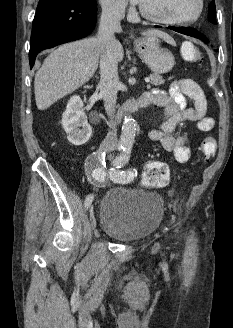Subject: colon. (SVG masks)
<instances>
[{"instance_id":"1","label":"colon","mask_w":233,"mask_h":328,"mask_svg":"<svg viewBox=\"0 0 233 328\" xmlns=\"http://www.w3.org/2000/svg\"><path fill=\"white\" fill-rule=\"evenodd\" d=\"M183 57L187 61H197L200 57L198 49L192 43H186L182 47ZM201 151L205 161H208L216 151V142L212 137L204 139ZM170 171L166 164L159 161H150L146 164L141 183L147 188H161L168 184Z\"/></svg>"}]
</instances>
